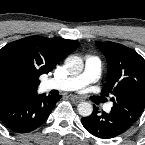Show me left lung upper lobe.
<instances>
[{"mask_svg": "<svg viewBox=\"0 0 145 145\" xmlns=\"http://www.w3.org/2000/svg\"><path fill=\"white\" fill-rule=\"evenodd\" d=\"M95 43L108 64L102 95L111 96V112L132 126L145 107V61L135 50L121 44Z\"/></svg>", "mask_w": 145, "mask_h": 145, "instance_id": "1", "label": "left lung upper lobe"}]
</instances>
